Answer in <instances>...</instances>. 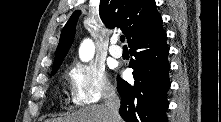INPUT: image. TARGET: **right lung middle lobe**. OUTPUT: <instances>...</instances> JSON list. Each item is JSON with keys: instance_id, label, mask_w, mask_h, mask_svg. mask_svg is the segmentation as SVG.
<instances>
[{"instance_id": "obj_1", "label": "right lung middle lobe", "mask_w": 221, "mask_h": 122, "mask_svg": "<svg viewBox=\"0 0 221 122\" xmlns=\"http://www.w3.org/2000/svg\"><path fill=\"white\" fill-rule=\"evenodd\" d=\"M57 72V70L52 71L51 75H54Z\"/></svg>"}]
</instances>
